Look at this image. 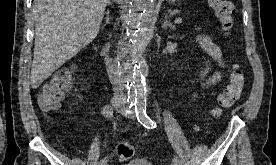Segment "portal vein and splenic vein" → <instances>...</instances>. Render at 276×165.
I'll list each match as a JSON object with an SVG mask.
<instances>
[{"mask_svg": "<svg viewBox=\"0 0 276 165\" xmlns=\"http://www.w3.org/2000/svg\"><path fill=\"white\" fill-rule=\"evenodd\" d=\"M182 22V18L181 17H178L175 19V23H181Z\"/></svg>", "mask_w": 276, "mask_h": 165, "instance_id": "portal-vein-and-splenic-vein-1", "label": "portal vein and splenic vein"}]
</instances>
